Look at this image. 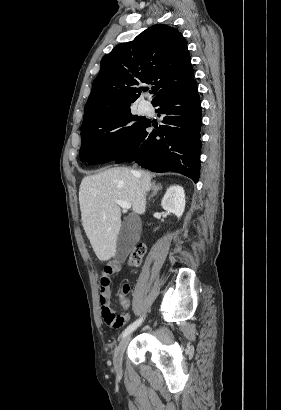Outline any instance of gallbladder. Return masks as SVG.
Instances as JSON below:
<instances>
[{
  "instance_id": "1",
  "label": "gallbladder",
  "mask_w": 281,
  "mask_h": 410,
  "mask_svg": "<svg viewBox=\"0 0 281 410\" xmlns=\"http://www.w3.org/2000/svg\"><path fill=\"white\" fill-rule=\"evenodd\" d=\"M135 223V216H128L122 224L116 244L115 257L118 262L123 263L125 261L132 247L136 244L139 238V233Z\"/></svg>"
}]
</instances>
